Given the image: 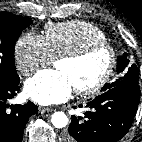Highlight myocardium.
<instances>
[{
  "label": "myocardium",
  "mask_w": 142,
  "mask_h": 142,
  "mask_svg": "<svg viewBox=\"0 0 142 142\" xmlns=\"http://www.w3.org/2000/svg\"><path fill=\"white\" fill-rule=\"evenodd\" d=\"M100 51H105L109 57L108 66L104 74L100 77L99 80L89 86L75 88L76 93L89 96L101 91L109 83L112 76L114 75L117 66V52L113 46L109 45L108 43L102 42L86 45L79 50L66 53L58 57V61L63 60L79 62Z\"/></svg>",
  "instance_id": "f54148a6"
}]
</instances>
